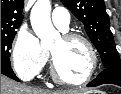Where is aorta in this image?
Instances as JSON below:
<instances>
[{
  "label": "aorta",
  "instance_id": "obj_1",
  "mask_svg": "<svg viewBox=\"0 0 121 94\" xmlns=\"http://www.w3.org/2000/svg\"><path fill=\"white\" fill-rule=\"evenodd\" d=\"M50 12V0H37L30 14L32 28L40 38L42 48L51 47L54 40L60 37L59 32L52 25Z\"/></svg>",
  "mask_w": 121,
  "mask_h": 94
}]
</instances>
